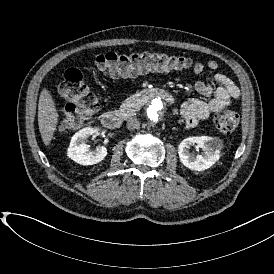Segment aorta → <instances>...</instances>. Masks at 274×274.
<instances>
[{"label": "aorta", "mask_w": 274, "mask_h": 274, "mask_svg": "<svg viewBox=\"0 0 274 274\" xmlns=\"http://www.w3.org/2000/svg\"><path fill=\"white\" fill-rule=\"evenodd\" d=\"M147 119L149 123L162 124L167 119V108L160 98H155L147 108Z\"/></svg>", "instance_id": "obj_1"}]
</instances>
